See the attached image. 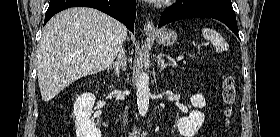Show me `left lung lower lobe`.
<instances>
[{
	"label": "left lung lower lobe",
	"instance_id": "1",
	"mask_svg": "<svg viewBox=\"0 0 280 137\" xmlns=\"http://www.w3.org/2000/svg\"><path fill=\"white\" fill-rule=\"evenodd\" d=\"M185 18H213L224 23L239 38L231 0H185L161 15L158 27Z\"/></svg>",
	"mask_w": 280,
	"mask_h": 137
}]
</instances>
